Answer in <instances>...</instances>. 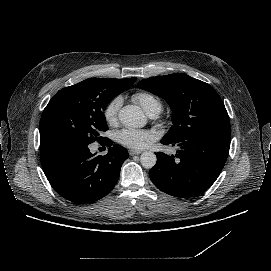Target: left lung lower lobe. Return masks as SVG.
Listing matches in <instances>:
<instances>
[{
	"label": "left lung lower lobe",
	"instance_id": "1",
	"mask_svg": "<svg viewBox=\"0 0 271 271\" xmlns=\"http://www.w3.org/2000/svg\"><path fill=\"white\" fill-rule=\"evenodd\" d=\"M230 140V135L218 132L199 133L180 142L162 139V144L177 145L180 149L175 156L156 153L157 163L149 172L151 181L159 190L175 197L202 194L221 173Z\"/></svg>",
	"mask_w": 271,
	"mask_h": 271
}]
</instances>
